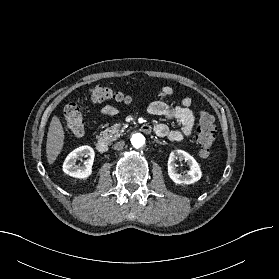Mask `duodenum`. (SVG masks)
<instances>
[{"label":"duodenum","mask_w":279,"mask_h":279,"mask_svg":"<svg viewBox=\"0 0 279 279\" xmlns=\"http://www.w3.org/2000/svg\"><path fill=\"white\" fill-rule=\"evenodd\" d=\"M143 130L149 132L151 131V128L149 126H143ZM95 147L99 153H105L108 150V143L105 139H99L97 140Z\"/></svg>","instance_id":"obj_1"}]
</instances>
